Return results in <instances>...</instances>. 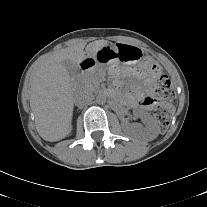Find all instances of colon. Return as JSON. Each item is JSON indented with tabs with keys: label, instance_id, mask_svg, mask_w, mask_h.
I'll list each match as a JSON object with an SVG mask.
<instances>
[{
	"label": "colon",
	"instance_id": "obj_1",
	"mask_svg": "<svg viewBox=\"0 0 207 207\" xmlns=\"http://www.w3.org/2000/svg\"><path fill=\"white\" fill-rule=\"evenodd\" d=\"M148 70L152 75L161 73V66L153 61H148ZM156 96L161 101H170L175 98V89L171 80L166 75H161L155 90ZM173 107L167 102H161L154 111V116L161 132H165L170 124Z\"/></svg>",
	"mask_w": 207,
	"mask_h": 207
}]
</instances>
